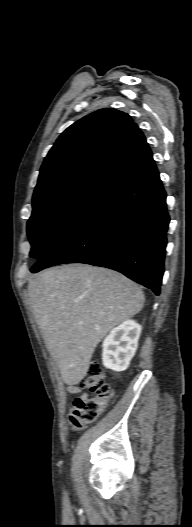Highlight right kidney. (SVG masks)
Here are the masks:
<instances>
[{"label":"right kidney","mask_w":192,"mask_h":527,"mask_svg":"<svg viewBox=\"0 0 192 527\" xmlns=\"http://www.w3.org/2000/svg\"><path fill=\"white\" fill-rule=\"evenodd\" d=\"M141 330L133 320L115 327L103 341V365L117 372L126 370L137 350Z\"/></svg>","instance_id":"ca27d5eb"}]
</instances>
